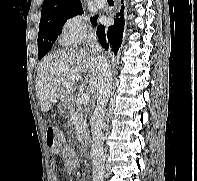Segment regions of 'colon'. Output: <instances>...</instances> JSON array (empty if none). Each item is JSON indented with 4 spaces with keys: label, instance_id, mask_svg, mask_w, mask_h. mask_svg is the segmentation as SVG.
Returning a JSON list of instances; mask_svg holds the SVG:
<instances>
[{
    "label": "colon",
    "instance_id": "obj_1",
    "mask_svg": "<svg viewBox=\"0 0 197 181\" xmlns=\"http://www.w3.org/2000/svg\"><path fill=\"white\" fill-rule=\"evenodd\" d=\"M46 142L51 151H58L62 145V137L53 126H49L46 129Z\"/></svg>",
    "mask_w": 197,
    "mask_h": 181
}]
</instances>
